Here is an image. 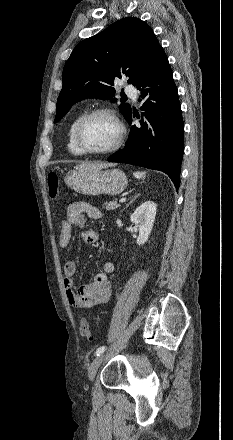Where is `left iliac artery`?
<instances>
[{"mask_svg":"<svg viewBox=\"0 0 233 440\" xmlns=\"http://www.w3.org/2000/svg\"><path fill=\"white\" fill-rule=\"evenodd\" d=\"M105 349H106V346H101V347H99V348L96 350L95 355L98 356L99 354L103 353V352L105 351Z\"/></svg>","mask_w":233,"mask_h":440,"instance_id":"left-iliac-artery-1","label":"left iliac artery"}]
</instances>
